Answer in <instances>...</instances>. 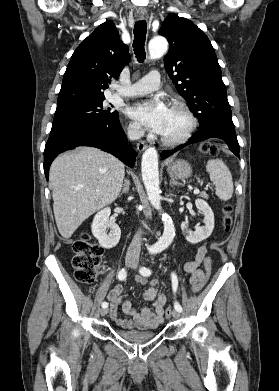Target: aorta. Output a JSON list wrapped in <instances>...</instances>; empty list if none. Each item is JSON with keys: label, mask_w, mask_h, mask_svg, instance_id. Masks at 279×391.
<instances>
[{"label": "aorta", "mask_w": 279, "mask_h": 391, "mask_svg": "<svg viewBox=\"0 0 279 391\" xmlns=\"http://www.w3.org/2000/svg\"><path fill=\"white\" fill-rule=\"evenodd\" d=\"M167 48L168 42L164 37H154L150 40L148 45L150 59L161 57L167 51ZM141 173L150 203L157 210L161 211L158 153L155 148L149 147L143 153ZM162 220L164 223L163 235L153 246V249L158 252L166 249L172 243L175 235V228L171 217L166 213H162Z\"/></svg>", "instance_id": "1"}]
</instances>
